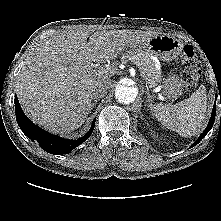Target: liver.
<instances>
[{
	"mask_svg": "<svg viewBox=\"0 0 221 221\" xmlns=\"http://www.w3.org/2000/svg\"><path fill=\"white\" fill-rule=\"evenodd\" d=\"M153 36L140 30L97 31L91 36L85 30H69L53 35L19 72L16 92L22 109L52 133L78 129L91 112L94 91L100 86L108 89L117 73L110 60Z\"/></svg>",
	"mask_w": 221,
	"mask_h": 221,
	"instance_id": "1",
	"label": "liver"
}]
</instances>
